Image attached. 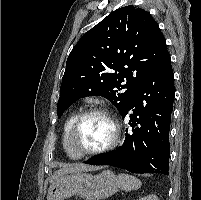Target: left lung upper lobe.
Masks as SVG:
<instances>
[{
  "label": "left lung upper lobe",
  "instance_id": "obj_1",
  "mask_svg": "<svg viewBox=\"0 0 201 200\" xmlns=\"http://www.w3.org/2000/svg\"><path fill=\"white\" fill-rule=\"evenodd\" d=\"M167 52L151 15L119 8L86 32L68 56L57 114L86 96L107 98L122 114L145 77Z\"/></svg>",
  "mask_w": 201,
  "mask_h": 200
}]
</instances>
